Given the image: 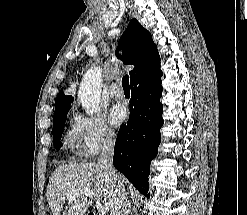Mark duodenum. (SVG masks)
Returning a JSON list of instances; mask_svg holds the SVG:
<instances>
[{"label":"duodenum","instance_id":"410a0bca","mask_svg":"<svg viewBox=\"0 0 247 215\" xmlns=\"http://www.w3.org/2000/svg\"><path fill=\"white\" fill-rule=\"evenodd\" d=\"M87 215H96V214H94V213H88Z\"/></svg>","mask_w":247,"mask_h":215}]
</instances>
